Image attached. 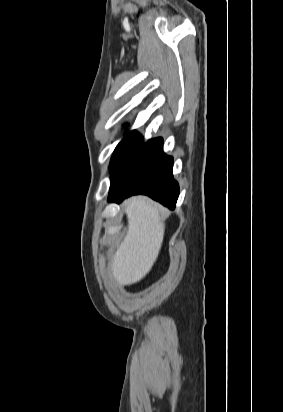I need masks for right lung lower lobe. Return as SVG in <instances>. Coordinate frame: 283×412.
Segmentation results:
<instances>
[{"instance_id":"1","label":"right lung lower lobe","mask_w":283,"mask_h":412,"mask_svg":"<svg viewBox=\"0 0 283 412\" xmlns=\"http://www.w3.org/2000/svg\"><path fill=\"white\" fill-rule=\"evenodd\" d=\"M163 139L155 138L129 153L111 172L109 202H121L136 194H145L169 209L179 195L173 179V158L163 153Z\"/></svg>"}]
</instances>
